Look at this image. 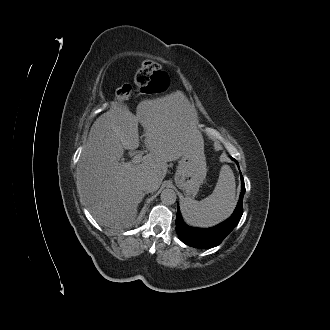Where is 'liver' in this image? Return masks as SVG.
Instances as JSON below:
<instances>
[{
    "instance_id": "6515ba94",
    "label": "liver",
    "mask_w": 330,
    "mask_h": 330,
    "mask_svg": "<svg viewBox=\"0 0 330 330\" xmlns=\"http://www.w3.org/2000/svg\"><path fill=\"white\" fill-rule=\"evenodd\" d=\"M138 123L144 129L149 154L138 164L119 162L124 150L139 147ZM203 148L195 109L187 101L144 100L137 105L136 115L114 108L98 117L90 129L78 164V191L100 225L129 227L145 195L142 181L152 177L160 186L167 162Z\"/></svg>"
}]
</instances>
